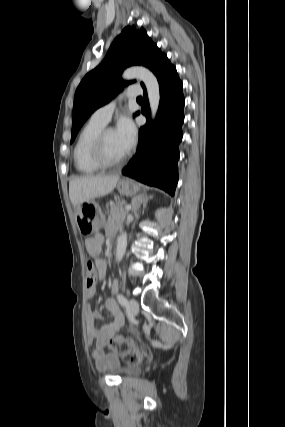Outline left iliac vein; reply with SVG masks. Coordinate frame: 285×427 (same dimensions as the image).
Wrapping results in <instances>:
<instances>
[{
    "label": "left iliac vein",
    "mask_w": 285,
    "mask_h": 427,
    "mask_svg": "<svg viewBox=\"0 0 285 427\" xmlns=\"http://www.w3.org/2000/svg\"><path fill=\"white\" fill-rule=\"evenodd\" d=\"M128 306L131 315L135 317L139 312V303L135 299H130Z\"/></svg>",
    "instance_id": "left-iliac-vein-1"
}]
</instances>
